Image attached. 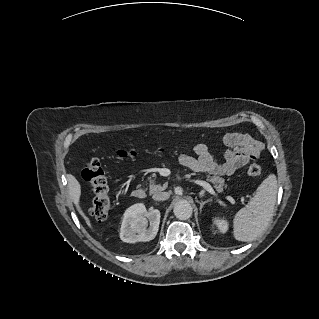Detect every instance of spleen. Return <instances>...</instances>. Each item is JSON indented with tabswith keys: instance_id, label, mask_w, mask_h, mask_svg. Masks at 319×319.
Wrapping results in <instances>:
<instances>
[{
	"instance_id": "1",
	"label": "spleen",
	"mask_w": 319,
	"mask_h": 319,
	"mask_svg": "<svg viewBox=\"0 0 319 319\" xmlns=\"http://www.w3.org/2000/svg\"><path fill=\"white\" fill-rule=\"evenodd\" d=\"M278 193L277 178L268 175L256 190L255 196L233 219V235L238 241L250 242L268 226Z\"/></svg>"
}]
</instances>
